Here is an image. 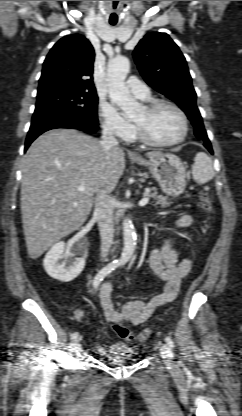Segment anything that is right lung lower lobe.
<instances>
[{"instance_id":"obj_1","label":"right lung lower lobe","mask_w":242,"mask_h":416,"mask_svg":"<svg viewBox=\"0 0 242 416\" xmlns=\"http://www.w3.org/2000/svg\"><path fill=\"white\" fill-rule=\"evenodd\" d=\"M55 128H76L85 132H94L98 129V124H87L79 120H74L72 118L62 116L41 117L31 123V127L25 142V151L32 143V141L40 134Z\"/></svg>"}]
</instances>
